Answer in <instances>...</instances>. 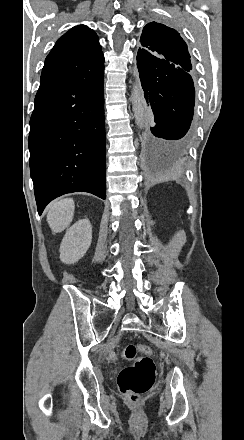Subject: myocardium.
<instances>
[{
    "mask_svg": "<svg viewBox=\"0 0 244 440\" xmlns=\"http://www.w3.org/2000/svg\"><path fill=\"white\" fill-rule=\"evenodd\" d=\"M106 184L108 185V178L106 179Z\"/></svg>",
    "mask_w": 244,
    "mask_h": 440,
    "instance_id": "myocardium-1",
    "label": "myocardium"
}]
</instances>
